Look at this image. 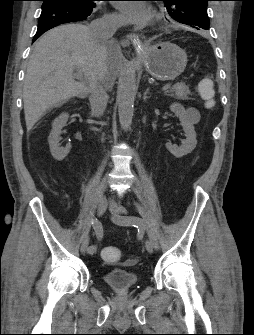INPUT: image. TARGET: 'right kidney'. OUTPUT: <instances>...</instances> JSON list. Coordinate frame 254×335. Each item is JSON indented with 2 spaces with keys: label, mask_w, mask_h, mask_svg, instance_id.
Returning <instances> with one entry per match:
<instances>
[{
  "label": "right kidney",
  "mask_w": 254,
  "mask_h": 335,
  "mask_svg": "<svg viewBox=\"0 0 254 335\" xmlns=\"http://www.w3.org/2000/svg\"><path fill=\"white\" fill-rule=\"evenodd\" d=\"M69 115L67 113H62L59 115L52 123V130L48 137V142L50 146V152L54 159L62 161L70 152L71 145H66L65 147L60 146L61 132L62 128L66 126Z\"/></svg>",
  "instance_id": "right-kidney-1"
}]
</instances>
